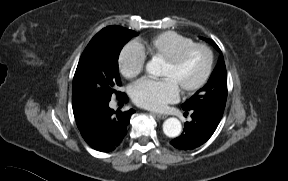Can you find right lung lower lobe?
<instances>
[{
    "instance_id": "98d812e1",
    "label": "right lung lower lobe",
    "mask_w": 288,
    "mask_h": 181,
    "mask_svg": "<svg viewBox=\"0 0 288 181\" xmlns=\"http://www.w3.org/2000/svg\"><path fill=\"white\" fill-rule=\"evenodd\" d=\"M120 99L128 100L126 94ZM135 111H114L109 108V103L102 105L96 113L92 126L87 134L82 135L84 140L95 150L109 152L115 150L126 135L130 116Z\"/></svg>"
}]
</instances>
